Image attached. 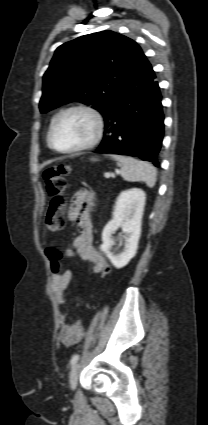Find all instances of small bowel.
Instances as JSON below:
<instances>
[{"label":"small bowel","mask_w":208,"mask_h":425,"mask_svg":"<svg viewBox=\"0 0 208 425\" xmlns=\"http://www.w3.org/2000/svg\"><path fill=\"white\" fill-rule=\"evenodd\" d=\"M94 194L86 188L76 191L72 197L68 219L78 226V235L73 240V249L82 261H89L95 273L109 266L105 257L93 245ZM73 268L52 272V290L59 305L65 302V293L73 276ZM60 339L65 346L77 344L84 336V327L80 321L70 323L68 314L62 310L59 314Z\"/></svg>","instance_id":"1"}]
</instances>
